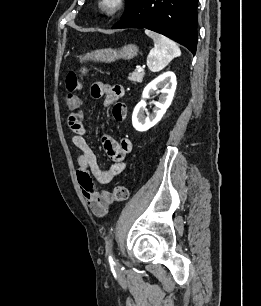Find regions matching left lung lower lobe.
I'll return each instance as SVG.
<instances>
[{"label": "left lung lower lobe", "instance_id": "left-lung-lower-lobe-1", "mask_svg": "<svg viewBox=\"0 0 261 306\" xmlns=\"http://www.w3.org/2000/svg\"><path fill=\"white\" fill-rule=\"evenodd\" d=\"M197 3L198 0H137L112 29L146 28L173 39L195 54Z\"/></svg>", "mask_w": 261, "mask_h": 306}]
</instances>
